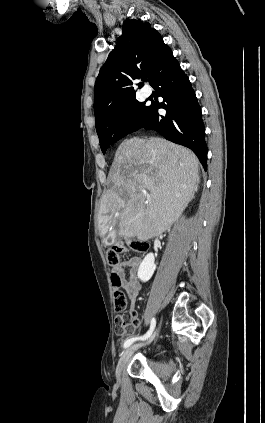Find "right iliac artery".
Instances as JSON below:
<instances>
[{
	"label": "right iliac artery",
	"mask_w": 265,
	"mask_h": 423,
	"mask_svg": "<svg viewBox=\"0 0 265 423\" xmlns=\"http://www.w3.org/2000/svg\"><path fill=\"white\" fill-rule=\"evenodd\" d=\"M155 325H156V320L154 318H152L150 328L147 331V333L144 334L143 336H138V337H133V338L127 339L124 342V348L129 347L135 341L148 339L151 336V334L153 333Z\"/></svg>",
	"instance_id": "1"
}]
</instances>
